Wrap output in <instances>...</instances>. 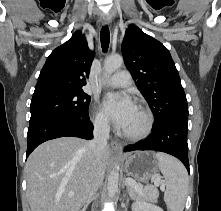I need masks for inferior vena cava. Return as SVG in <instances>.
<instances>
[{"label":"inferior vena cava","instance_id":"1","mask_svg":"<svg viewBox=\"0 0 221 211\" xmlns=\"http://www.w3.org/2000/svg\"><path fill=\"white\" fill-rule=\"evenodd\" d=\"M109 130L110 127L106 120H99L94 124V137L93 140L90 142V147L95 158V164L92 186L87 198L88 202L95 197V194L104 179L105 170L101 164V157L103 155V152L108 148Z\"/></svg>","mask_w":221,"mask_h":211}]
</instances>
